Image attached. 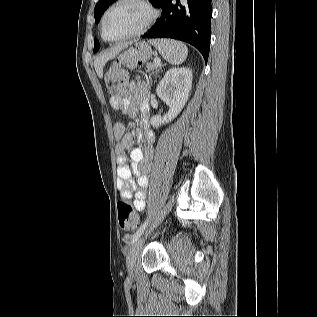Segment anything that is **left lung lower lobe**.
Instances as JSON below:
<instances>
[{
  "instance_id": "1",
  "label": "left lung lower lobe",
  "mask_w": 317,
  "mask_h": 317,
  "mask_svg": "<svg viewBox=\"0 0 317 317\" xmlns=\"http://www.w3.org/2000/svg\"><path fill=\"white\" fill-rule=\"evenodd\" d=\"M212 0H164L161 18L142 38H173L196 47L205 62L210 50Z\"/></svg>"
}]
</instances>
